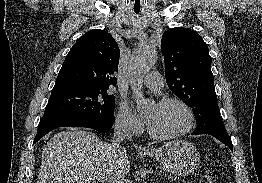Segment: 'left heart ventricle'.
Wrapping results in <instances>:
<instances>
[{
    "instance_id": "left-heart-ventricle-1",
    "label": "left heart ventricle",
    "mask_w": 262,
    "mask_h": 183,
    "mask_svg": "<svg viewBox=\"0 0 262 183\" xmlns=\"http://www.w3.org/2000/svg\"><path fill=\"white\" fill-rule=\"evenodd\" d=\"M148 125L157 134L170 135L183 130L188 125V114L176 103L152 105L146 112Z\"/></svg>"
}]
</instances>
